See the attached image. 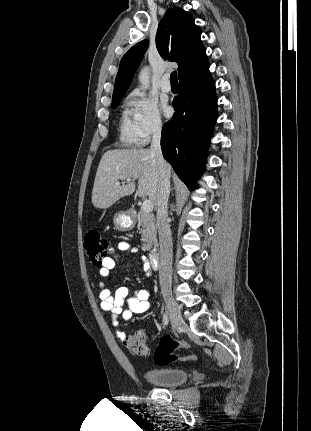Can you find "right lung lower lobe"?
I'll list each match as a JSON object with an SVG mask.
<instances>
[{
	"label": "right lung lower lobe",
	"instance_id": "right-lung-lower-lobe-1",
	"mask_svg": "<svg viewBox=\"0 0 311 431\" xmlns=\"http://www.w3.org/2000/svg\"><path fill=\"white\" fill-rule=\"evenodd\" d=\"M176 110L162 129L164 158L190 190L204 170L205 155L217 119L215 82L209 64L180 81V92L173 100Z\"/></svg>",
	"mask_w": 311,
	"mask_h": 431
}]
</instances>
